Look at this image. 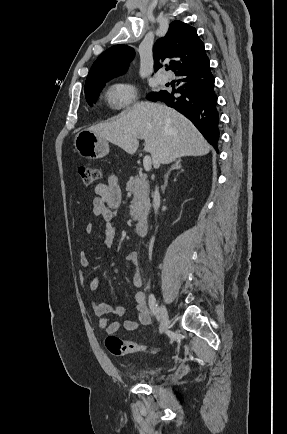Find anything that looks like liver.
Masks as SVG:
<instances>
[{
    "label": "liver",
    "instance_id": "1",
    "mask_svg": "<svg viewBox=\"0 0 287 434\" xmlns=\"http://www.w3.org/2000/svg\"><path fill=\"white\" fill-rule=\"evenodd\" d=\"M103 139L133 155L139 138L145 140L155 168L184 156H203L211 146L183 115L164 104L138 102L114 121L89 128Z\"/></svg>",
    "mask_w": 287,
    "mask_h": 434
}]
</instances>
